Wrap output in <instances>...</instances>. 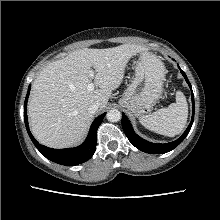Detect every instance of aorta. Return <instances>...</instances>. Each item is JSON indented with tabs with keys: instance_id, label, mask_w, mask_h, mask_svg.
Segmentation results:
<instances>
[{
	"instance_id": "aorta-1",
	"label": "aorta",
	"mask_w": 220,
	"mask_h": 220,
	"mask_svg": "<svg viewBox=\"0 0 220 220\" xmlns=\"http://www.w3.org/2000/svg\"><path fill=\"white\" fill-rule=\"evenodd\" d=\"M106 117L110 122H118L121 119V113L117 109H112L107 113Z\"/></svg>"
}]
</instances>
